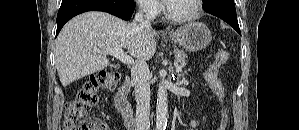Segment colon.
Returning <instances> with one entry per match:
<instances>
[{
  "label": "colon",
  "instance_id": "1",
  "mask_svg": "<svg viewBox=\"0 0 299 130\" xmlns=\"http://www.w3.org/2000/svg\"><path fill=\"white\" fill-rule=\"evenodd\" d=\"M228 59V52L219 50L208 71V77L221 98L224 97V91L216 79V75L218 68L225 64ZM119 79V74L113 71L103 70L92 74L78 90L75 98L66 104L64 130H107L103 124L98 123L89 116V111L98 103L99 91L114 88ZM227 120V112L223 109L218 130H225Z\"/></svg>",
  "mask_w": 299,
  "mask_h": 130
}]
</instances>
